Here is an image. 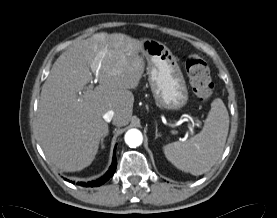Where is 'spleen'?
Returning a JSON list of instances; mask_svg holds the SVG:
<instances>
[{
	"mask_svg": "<svg viewBox=\"0 0 277 218\" xmlns=\"http://www.w3.org/2000/svg\"><path fill=\"white\" fill-rule=\"evenodd\" d=\"M229 130V115L220 98L211 103V109L202 131L190 139L169 143L163 147L166 158L178 169L202 175L221 157Z\"/></svg>",
	"mask_w": 277,
	"mask_h": 218,
	"instance_id": "1",
	"label": "spleen"
}]
</instances>
